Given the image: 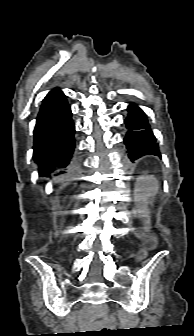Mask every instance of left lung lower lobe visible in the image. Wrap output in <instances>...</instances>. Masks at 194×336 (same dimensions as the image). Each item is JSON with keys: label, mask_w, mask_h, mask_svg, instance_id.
Masks as SVG:
<instances>
[{"label": "left lung lower lobe", "mask_w": 194, "mask_h": 336, "mask_svg": "<svg viewBox=\"0 0 194 336\" xmlns=\"http://www.w3.org/2000/svg\"><path fill=\"white\" fill-rule=\"evenodd\" d=\"M128 112L125 123L129 130L124 142L130 160L135 161L145 155L160 156L158 144L144 112L134 104L129 105Z\"/></svg>", "instance_id": "obj_1"}]
</instances>
